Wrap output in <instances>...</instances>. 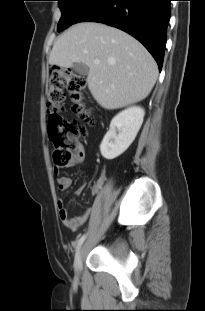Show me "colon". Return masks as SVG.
Segmentation results:
<instances>
[{
  "label": "colon",
  "instance_id": "5ec220e1",
  "mask_svg": "<svg viewBox=\"0 0 205 311\" xmlns=\"http://www.w3.org/2000/svg\"><path fill=\"white\" fill-rule=\"evenodd\" d=\"M85 85V78L72 71L60 68L50 70L45 108L56 166H66L70 162L86 135V128L80 120L68 119L62 114L67 95L71 100V111L82 120L93 123L92 111L84 102Z\"/></svg>",
  "mask_w": 205,
  "mask_h": 311
}]
</instances>
